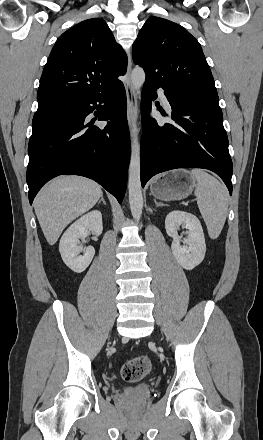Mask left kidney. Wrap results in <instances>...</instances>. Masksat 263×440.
<instances>
[{"instance_id":"1","label":"left kidney","mask_w":263,"mask_h":440,"mask_svg":"<svg viewBox=\"0 0 263 440\" xmlns=\"http://www.w3.org/2000/svg\"><path fill=\"white\" fill-rule=\"evenodd\" d=\"M180 226L188 230V237L183 239L184 245H181V237L177 232ZM165 228L167 234L173 238L171 249L176 261L186 270L198 266L206 253L204 233L199 219L191 213L172 211L165 219Z\"/></svg>"}]
</instances>
